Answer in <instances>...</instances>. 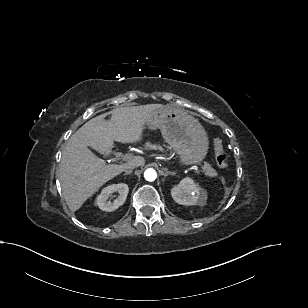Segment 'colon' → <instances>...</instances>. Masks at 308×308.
I'll return each instance as SVG.
<instances>
[{
    "instance_id": "1",
    "label": "colon",
    "mask_w": 308,
    "mask_h": 308,
    "mask_svg": "<svg viewBox=\"0 0 308 308\" xmlns=\"http://www.w3.org/2000/svg\"><path fill=\"white\" fill-rule=\"evenodd\" d=\"M215 160L220 168H226L228 165V156L225 152L222 140L220 138L214 139Z\"/></svg>"
}]
</instances>
